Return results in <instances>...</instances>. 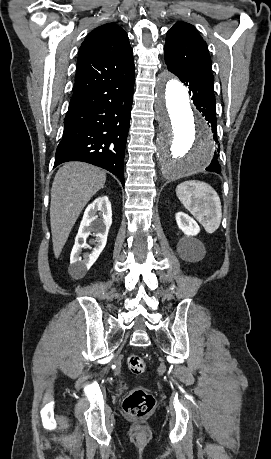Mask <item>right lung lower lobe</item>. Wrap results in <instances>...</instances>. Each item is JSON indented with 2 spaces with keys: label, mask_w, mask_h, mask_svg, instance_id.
I'll use <instances>...</instances> for the list:
<instances>
[{
  "label": "right lung lower lobe",
  "mask_w": 271,
  "mask_h": 459,
  "mask_svg": "<svg viewBox=\"0 0 271 459\" xmlns=\"http://www.w3.org/2000/svg\"><path fill=\"white\" fill-rule=\"evenodd\" d=\"M133 86L134 73L120 76L69 104L54 168L67 161H83L110 171L124 185Z\"/></svg>",
  "instance_id": "right-lung-lower-lobe-1"
}]
</instances>
